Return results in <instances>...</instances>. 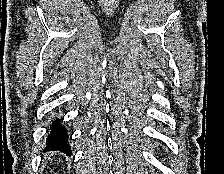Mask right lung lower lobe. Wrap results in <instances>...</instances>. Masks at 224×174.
<instances>
[{
	"instance_id": "1",
	"label": "right lung lower lobe",
	"mask_w": 224,
	"mask_h": 174,
	"mask_svg": "<svg viewBox=\"0 0 224 174\" xmlns=\"http://www.w3.org/2000/svg\"><path fill=\"white\" fill-rule=\"evenodd\" d=\"M46 143L49 150L71 153L70 146L68 145V133L66 128L61 125V119L57 118L52 122Z\"/></svg>"
}]
</instances>
